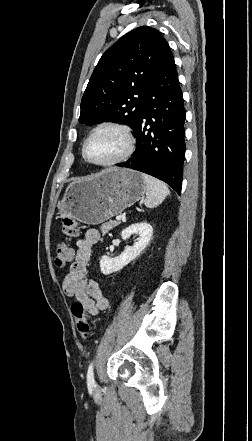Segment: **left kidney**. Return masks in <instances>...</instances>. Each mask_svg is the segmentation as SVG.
<instances>
[{
	"mask_svg": "<svg viewBox=\"0 0 252 441\" xmlns=\"http://www.w3.org/2000/svg\"><path fill=\"white\" fill-rule=\"evenodd\" d=\"M137 234L138 238L132 246H127L120 256L110 258L107 255L102 256L100 260V269L104 275L120 271L132 260L137 258L149 243L153 228L147 222L132 224L122 231V239L126 240L131 235Z\"/></svg>",
	"mask_w": 252,
	"mask_h": 441,
	"instance_id": "1",
	"label": "left kidney"
}]
</instances>
